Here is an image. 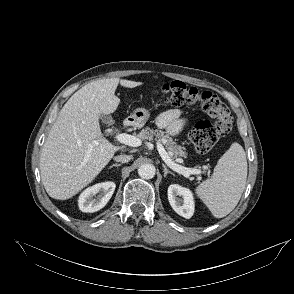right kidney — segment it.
I'll return each mask as SVG.
<instances>
[{"label": "right kidney", "mask_w": 294, "mask_h": 294, "mask_svg": "<svg viewBox=\"0 0 294 294\" xmlns=\"http://www.w3.org/2000/svg\"><path fill=\"white\" fill-rule=\"evenodd\" d=\"M115 188V183L111 181L98 183L87 188L79 196V209L86 213H93L102 209L112 197Z\"/></svg>", "instance_id": "ca27d5eb"}]
</instances>
